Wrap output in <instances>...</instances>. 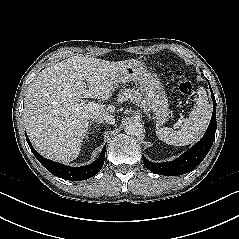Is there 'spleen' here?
Returning a JSON list of instances; mask_svg holds the SVG:
<instances>
[{"instance_id":"spleen-1","label":"spleen","mask_w":239,"mask_h":239,"mask_svg":"<svg viewBox=\"0 0 239 239\" xmlns=\"http://www.w3.org/2000/svg\"><path fill=\"white\" fill-rule=\"evenodd\" d=\"M196 105L181 126L180 130L173 128H158L157 137L168 145L185 146L195 142L208 127L212 108L208 102L206 91L203 87L198 89Z\"/></svg>"}]
</instances>
